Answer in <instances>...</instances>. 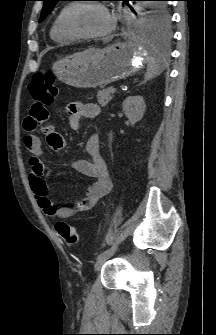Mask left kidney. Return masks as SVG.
<instances>
[{
    "mask_svg": "<svg viewBox=\"0 0 216 335\" xmlns=\"http://www.w3.org/2000/svg\"><path fill=\"white\" fill-rule=\"evenodd\" d=\"M123 111L131 125L142 119L146 105L142 96H129L122 104Z\"/></svg>",
    "mask_w": 216,
    "mask_h": 335,
    "instance_id": "5707ae66",
    "label": "left kidney"
}]
</instances>
